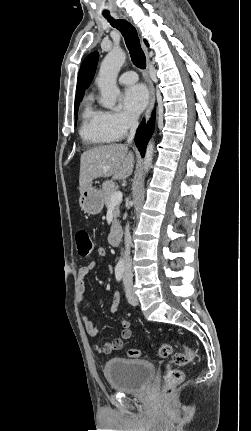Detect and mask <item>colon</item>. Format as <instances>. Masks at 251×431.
I'll return each instance as SVG.
<instances>
[{"label": "colon", "mask_w": 251, "mask_h": 431, "mask_svg": "<svg viewBox=\"0 0 251 431\" xmlns=\"http://www.w3.org/2000/svg\"><path fill=\"white\" fill-rule=\"evenodd\" d=\"M77 251L81 257H89L93 250L94 244L89 232L84 228H79L75 234ZM173 352V345L169 343L162 344L159 347L158 353L161 357H168ZM130 358L140 356L141 352L138 349H129L126 352ZM195 357L194 351L187 345H182V351L175 353L171 363L164 370V395L168 397L173 389L179 385L184 379V373L181 367L189 364Z\"/></svg>", "instance_id": "colon-1"}]
</instances>
